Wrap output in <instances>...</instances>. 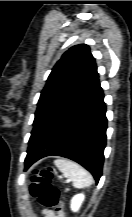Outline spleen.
Segmentation results:
<instances>
[{
  "instance_id": "1",
  "label": "spleen",
  "mask_w": 132,
  "mask_h": 217,
  "mask_svg": "<svg viewBox=\"0 0 132 217\" xmlns=\"http://www.w3.org/2000/svg\"><path fill=\"white\" fill-rule=\"evenodd\" d=\"M54 164L66 178L72 181L75 188H85L93 182L91 174L76 162L67 159H57L54 161Z\"/></svg>"
}]
</instances>
